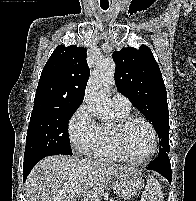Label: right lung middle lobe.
I'll use <instances>...</instances> for the list:
<instances>
[{
    "mask_svg": "<svg viewBox=\"0 0 196 201\" xmlns=\"http://www.w3.org/2000/svg\"><path fill=\"white\" fill-rule=\"evenodd\" d=\"M77 108L34 105L27 130L24 158L48 150L72 155L67 127Z\"/></svg>",
    "mask_w": 196,
    "mask_h": 201,
    "instance_id": "right-lung-middle-lobe-1",
    "label": "right lung middle lobe"
}]
</instances>
